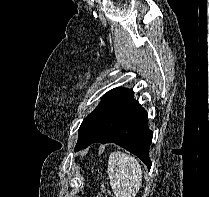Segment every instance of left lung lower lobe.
Returning a JSON list of instances; mask_svg holds the SVG:
<instances>
[{
    "label": "left lung lower lobe",
    "mask_w": 209,
    "mask_h": 197,
    "mask_svg": "<svg viewBox=\"0 0 209 197\" xmlns=\"http://www.w3.org/2000/svg\"><path fill=\"white\" fill-rule=\"evenodd\" d=\"M127 90L114 100L78 140L75 151L95 142L115 143L139 157L151 168L149 148L153 132L148 128L147 112Z\"/></svg>",
    "instance_id": "0a47b994"
}]
</instances>
